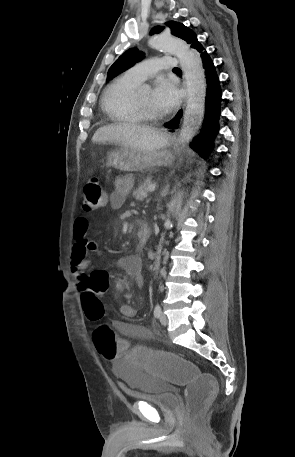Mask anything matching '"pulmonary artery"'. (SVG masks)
Returning a JSON list of instances; mask_svg holds the SVG:
<instances>
[{"label": "pulmonary artery", "instance_id": "obj_1", "mask_svg": "<svg viewBox=\"0 0 295 457\" xmlns=\"http://www.w3.org/2000/svg\"><path fill=\"white\" fill-rule=\"evenodd\" d=\"M177 65L178 60L173 56L153 57L136 64L126 74L130 78L142 82L159 70H171Z\"/></svg>", "mask_w": 295, "mask_h": 457}]
</instances>
